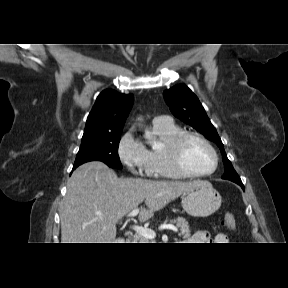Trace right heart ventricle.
Returning <instances> with one entry per match:
<instances>
[{
    "instance_id": "obj_1",
    "label": "right heart ventricle",
    "mask_w": 288,
    "mask_h": 288,
    "mask_svg": "<svg viewBox=\"0 0 288 288\" xmlns=\"http://www.w3.org/2000/svg\"><path fill=\"white\" fill-rule=\"evenodd\" d=\"M182 129L172 121L169 123L154 122L152 134L158 138L160 145L148 150V169L152 176L176 179L182 177L170 165L166 156V146Z\"/></svg>"
}]
</instances>
